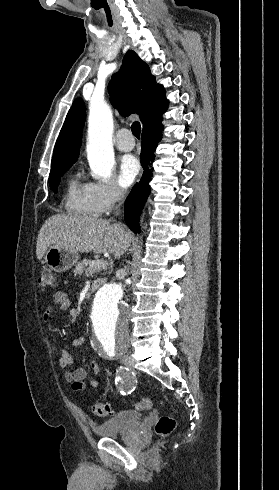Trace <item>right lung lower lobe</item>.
Here are the masks:
<instances>
[{
    "label": "right lung lower lobe",
    "instance_id": "obj_1",
    "mask_svg": "<svg viewBox=\"0 0 279 490\" xmlns=\"http://www.w3.org/2000/svg\"><path fill=\"white\" fill-rule=\"evenodd\" d=\"M163 126L156 128L154 130H148L143 132L142 135V146H141V164L144 169L143 175L139 181L132 188L130 194L125 201V222L127 226L135 233L140 232V226L138 224V218L140 211L143 208L148 195L150 193L149 182L152 177V172L150 169V162L154 160L155 147L161 140V131Z\"/></svg>",
    "mask_w": 279,
    "mask_h": 490
}]
</instances>
